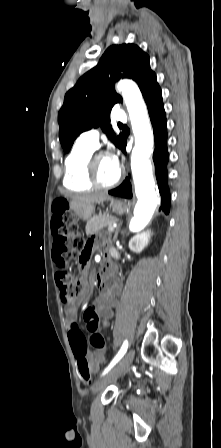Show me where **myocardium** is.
I'll return each mask as SVG.
<instances>
[{"instance_id":"f54148a6","label":"myocardium","mask_w":221,"mask_h":448,"mask_svg":"<svg viewBox=\"0 0 221 448\" xmlns=\"http://www.w3.org/2000/svg\"><path fill=\"white\" fill-rule=\"evenodd\" d=\"M100 155H107L110 156V154L106 151H100V152H93L87 161V177L90 183L100 189H110L115 187L121 180V172L119 171L117 177L110 183H103L98 176L97 173V158Z\"/></svg>"}]
</instances>
